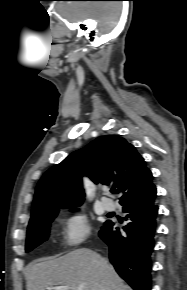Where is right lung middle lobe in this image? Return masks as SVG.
<instances>
[{
    "mask_svg": "<svg viewBox=\"0 0 187 290\" xmlns=\"http://www.w3.org/2000/svg\"><path fill=\"white\" fill-rule=\"evenodd\" d=\"M58 210L42 215L29 223L27 231L26 252L46 241L49 235L50 224L57 216Z\"/></svg>",
    "mask_w": 187,
    "mask_h": 290,
    "instance_id": "obj_1",
    "label": "right lung middle lobe"
}]
</instances>
